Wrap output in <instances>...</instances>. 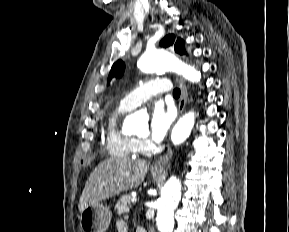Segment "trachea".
Masks as SVG:
<instances>
[{
  "instance_id": "3493384b",
  "label": "trachea",
  "mask_w": 289,
  "mask_h": 232,
  "mask_svg": "<svg viewBox=\"0 0 289 232\" xmlns=\"http://www.w3.org/2000/svg\"><path fill=\"white\" fill-rule=\"evenodd\" d=\"M180 89H178V88H175L174 90H173V96L175 97V98H179L180 97Z\"/></svg>"
}]
</instances>
